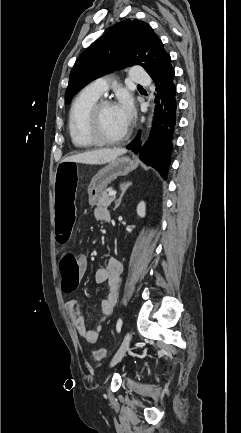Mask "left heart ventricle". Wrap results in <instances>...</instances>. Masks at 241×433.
<instances>
[{
  "label": "left heart ventricle",
  "instance_id": "left-heart-ventricle-1",
  "mask_svg": "<svg viewBox=\"0 0 241 433\" xmlns=\"http://www.w3.org/2000/svg\"><path fill=\"white\" fill-rule=\"evenodd\" d=\"M127 126L123 122L116 106H108L102 110L100 130L105 137L116 138L123 134Z\"/></svg>",
  "mask_w": 241,
  "mask_h": 433
}]
</instances>
